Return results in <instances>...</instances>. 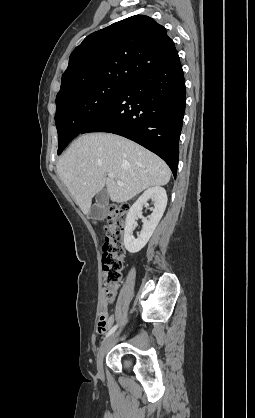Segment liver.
I'll list each match as a JSON object with an SVG mask.
<instances>
[{
  "label": "liver",
  "mask_w": 255,
  "mask_h": 418,
  "mask_svg": "<svg viewBox=\"0 0 255 418\" xmlns=\"http://www.w3.org/2000/svg\"><path fill=\"white\" fill-rule=\"evenodd\" d=\"M57 172L84 214L104 186L113 202H126L147 188L166 185L171 177L157 155L110 133L80 136L58 161ZM109 173L114 177L107 178Z\"/></svg>",
  "instance_id": "6515ba94"
}]
</instances>
